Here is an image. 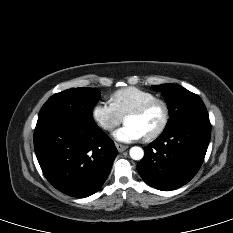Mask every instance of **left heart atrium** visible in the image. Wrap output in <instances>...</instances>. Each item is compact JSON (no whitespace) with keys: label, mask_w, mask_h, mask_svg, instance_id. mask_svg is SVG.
Listing matches in <instances>:
<instances>
[{"label":"left heart atrium","mask_w":233,"mask_h":233,"mask_svg":"<svg viewBox=\"0 0 233 233\" xmlns=\"http://www.w3.org/2000/svg\"><path fill=\"white\" fill-rule=\"evenodd\" d=\"M114 138L118 141L129 143L143 138L142 132L133 124L125 125L114 132Z\"/></svg>","instance_id":"1"}]
</instances>
